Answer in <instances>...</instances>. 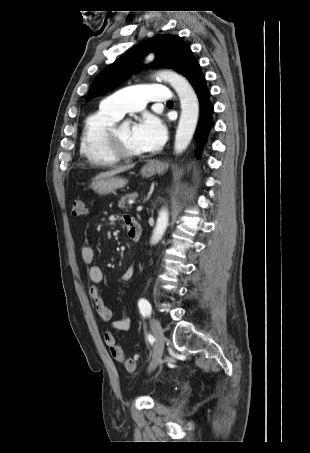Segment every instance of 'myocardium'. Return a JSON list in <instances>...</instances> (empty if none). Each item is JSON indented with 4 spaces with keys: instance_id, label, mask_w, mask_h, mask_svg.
<instances>
[{
    "instance_id": "obj_1",
    "label": "myocardium",
    "mask_w": 310,
    "mask_h": 453,
    "mask_svg": "<svg viewBox=\"0 0 310 453\" xmlns=\"http://www.w3.org/2000/svg\"><path fill=\"white\" fill-rule=\"evenodd\" d=\"M119 127L120 125L115 124L106 135V145L108 150L119 160L129 161L142 158L144 156L142 153H132L124 147L118 135Z\"/></svg>"
}]
</instances>
